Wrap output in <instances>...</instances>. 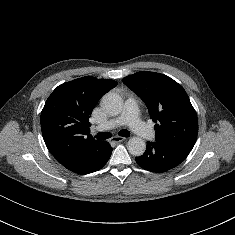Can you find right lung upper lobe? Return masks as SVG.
<instances>
[{"mask_svg":"<svg viewBox=\"0 0 235 235\" xmlns=\"http://www.w3.org/2000/svg\"><path fill=\"white\" fill-rule=\"evenodd\" d=\"M116 85L114 80L83 77L61 84L48 97L41 112L43 139L67 169H75L102 142L89 135L88 119L99 99Z\"/></svg>","mask_w":235,"mask_h":235,"instance_id":"right-lung-upper-lobe-1","label":"right lung upper lobe"}]
</instances>
